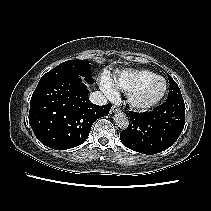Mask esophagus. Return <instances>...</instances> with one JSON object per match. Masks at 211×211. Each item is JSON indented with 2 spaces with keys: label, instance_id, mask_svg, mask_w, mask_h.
I'll list each match as a JSON object with an SVG mask.
<instances>
[{
  "label": "esophagus",
  "instance_id": "34e87169",
  "mask_svg": "<svg viewBox=\"0 0 211 211\" xmlns=\"http://www.w3.org/2000/svg\"><path fill=\"white\" fill-rule=\"evenodd\" d=\"M120 111V108L116 105H113L112 108H111V112L112 113H116V112H119Z\"/></svg>",
  "mask_w": 211,
  "mask_h": 211
}]
</instances>
